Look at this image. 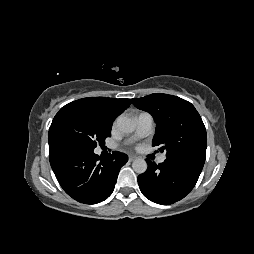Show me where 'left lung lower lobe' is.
<instances>
[{"label":"left lung lower lobe","instance_id":"0a47b994","mask_svg":"<svg viewBox=\"0 0 254 254\" xmlns=\"http://www.w3.org/2000/svg\"><path fill=\"white\" fill-rule=\"evenodd\" d=\"M148 169L138 176L143 195L152 202L169 205L184 198L195 186L204 162L195 158H166L158 165L146 159Z\"/></svg>","mask_w":254,"mask_h":254}]
</instances>
